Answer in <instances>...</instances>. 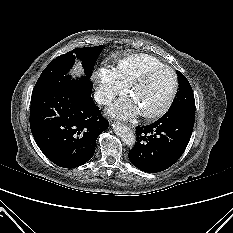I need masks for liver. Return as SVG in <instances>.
<instances>
[{"mask_svg":"<svg viewBox=\"0 0 233 233\" xmlns=\"http://www.w3.org/2000/svg\"><path fill=\"white\" fill-rule=\"evenodd\" d=\"M74 73L80 74L81 73V68L76 66L75 69H74Z\"/></svg>","mask_w":233,"mask_h":233,"instance_id":"obj_1","label":"liver"}]
</instances>
